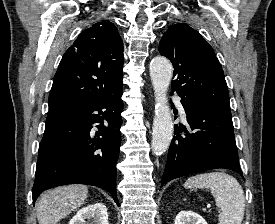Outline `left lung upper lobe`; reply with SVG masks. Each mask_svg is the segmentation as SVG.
<instances>
[{"label": "left lung upper lobe", "mask_w": 275, "mask_h": 224, "mask_svg": "<svg viewBox=\"0 0 275 224\" xmlns=\"http://www.w3.org/2000/svg\"><path fill=\"white\" fill-rule=\"evenodd\" d=\"M160 54L174 67L172 92L191 102L231 113L222 67L212 47L187 24L168 27L159 44Z\"/></svg>", "instance_id": "1"}]
</instances>
